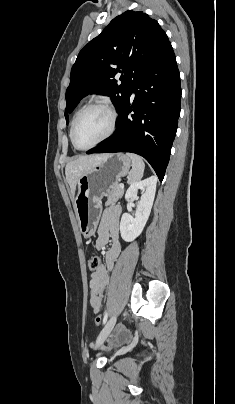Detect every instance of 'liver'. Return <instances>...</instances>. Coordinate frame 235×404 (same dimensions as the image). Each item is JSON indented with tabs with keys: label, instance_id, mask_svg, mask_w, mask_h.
<instances>
[{
	"label": "liver",
	"instance_id": "liver-1",
	"mask_svg": "<svg viewBox=\"0 0 235 404\" xmlns=\"http://www.w3.org/2000/svg\"><path fill=\"white\" fill-rule=\"evenodd\" d=\"M107 154L80 156L67 163L65 168L66 180L70 186L71 197L74 198L78 180L101 162Z\"/></svg>",
	"mask_w": 235,
	"mask_h": 404
}]
</instances>
